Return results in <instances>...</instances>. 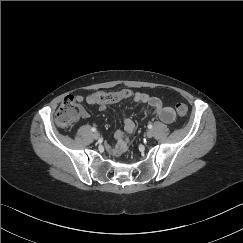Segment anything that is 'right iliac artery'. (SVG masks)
Masks as SVG:
<instances>
[{"instance_id":"right-iliac-artery-1","label":"right iliac artery","mask_w":243,"mask_h":243,"mask_svg":"<svg viewBox=\"0 0 243 243\" xmlns=\"http://www.w3.org/2000/svg\"><path fill=\"white\" fill-rule=\"evenodd\" d=\"M91 131H92V132H96V128H95V127H92V128H91Z\"/></svg>"}]
</instances>
